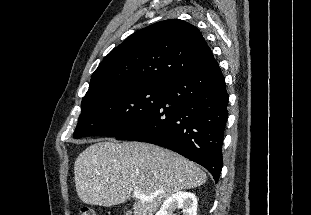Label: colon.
<instances>
[{
    "mask_svg": "<svg viewBox=\"0 0 311 215\" xmlns=\"http://www.w3.org/2000/svg\"><path fill=\"white\" fill-rule=\"evenodd\" d=\"M79 215H96L95 212L90 208H82Z\"/></svg>",
    "mask_w": 311,
    "mask_h": 215,
    "instance_id": "5ec220e1",
    "label": "colon"
}]
</instances>
